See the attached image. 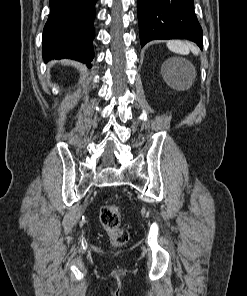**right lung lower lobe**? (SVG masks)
<instances>
[{"label":"right lung lower lobe","instance_id":"98d812e1","mask_svg":"<svg viewBox=\"0 0 247 296\" xmlns=\"http://www.w3.org/2000/svg\"><path fill=\"white\" fill-rule=\"evenodd\" d=\"M97 0H50V15L43 30V58H70L86 63L94 57Z\"/></svg>","mask_w":247,"mask_h":296}]
</instances>
